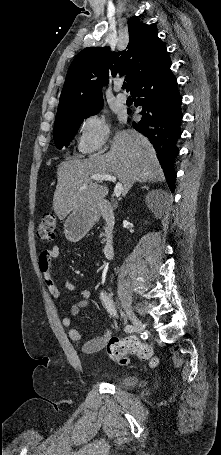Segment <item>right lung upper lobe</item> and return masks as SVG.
Masks as SVG:
<instances>
[{
	"label": "right lung upper lobe",
	"mask_w": 221,
	"mask_h": 455,
	"mask_svg": "<svg viewBox=\"0 0 221 455\" xmlns=\"http://www.w3.org/2000/svg\"><path fill=\"white\" fill-rule=\"evenodd\" d=\"M126 50L111 52L108 47H88L74 59L67 72L60 96L56 120L86 111L103 103L102 87L109 76H126L128 91L166 50L151 26L128 23Z\"/></svg>",
	"instance_id": "right-lung-upper-lobe-1"
}]
</instances>
